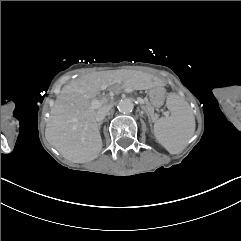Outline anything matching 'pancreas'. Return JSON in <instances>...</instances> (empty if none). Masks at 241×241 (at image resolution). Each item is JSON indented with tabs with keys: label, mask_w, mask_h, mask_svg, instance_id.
Masks as SVG:
<instances>
[{
	"label": "pancreas",
	"mask_w": 241,
	"mask_h": 241,
	"mask_svg": "<svg viewBox=\"0 0 241 241\" xmlns=\"http://www.w3.org/2000/svg\"><path fill=\"white\" fill-rule=\"evenodd\" d=\"M143 109L146 110V112L150 115L154 116L153 108L149 104H145V106H143Z\"/></svg>",
	"instance_id": "1"
}]
</instances>
